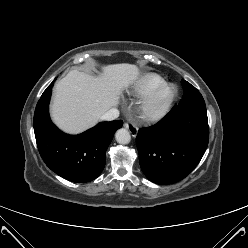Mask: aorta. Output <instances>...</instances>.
Listing matches in <instances>:
<instances>
[{"label":"aorta","mask_w":248,"mask_h":248,"mask_svg":"<svg viewBox=\"0 0 248 248\" xmlns=\"http://www.w3.org/2000/svg\"><path fill=\"white\" fill-rule=\"evenodd\" d=\"M115 139L119 144H128L131 141V135L127 129L121 128L116 132Z\"/></svg>","instance_id":"obj_1"}]
</instances>
